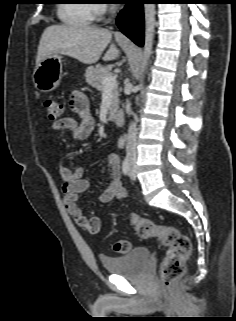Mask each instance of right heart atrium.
<instances>
[{
    "mask_svg": "<svg viewBox=\"0 0 236 321\" xmlns=\"http://www.w3.org/2000/svg\"><path fill=\"white\" fill-rule=\"evenodd\" d=\"M108 11H110V7L105 0H99V3L93 5L92 16L95 19L101 18Z\"/></svg>",
    "mask_w": 236,
    "mask_h": 321,
    "instance_id": "right-heart-atrium-1",
    "label": "right heart atrium"
}]
</instances>
